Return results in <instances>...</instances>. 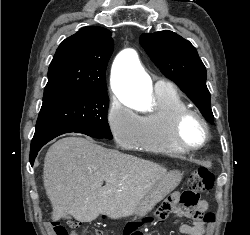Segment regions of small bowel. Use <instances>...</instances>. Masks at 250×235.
<instances>
[{
  "label": "small bowel",
  "mask_w": 250,
  "mask_h": 235,
  "mask_svg": "<svg viewBox=\"0 0 250 235\" xmlns=\"http://www.w3.org/2000/svg\"><path fill=\"white\" fill-rule=\"evenodd\" d=\"M207 202L200 201L195 207L194 211L197 213V216L194 217V221L191 224L183 223L178 226V229L182 235H206V223L202 219L201 214L207 210ZM172 209L171 201H166L159 211L158 222H162L167 217L168 213ZM72 235H77L72 232ZM97 235H102L98 232ZM125 235H141L137 228H131Z\"/></svg>",
  "instance_id": "c3829d8e"
}]
</instances>
